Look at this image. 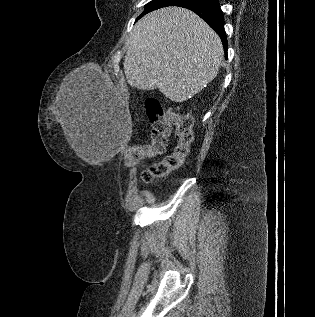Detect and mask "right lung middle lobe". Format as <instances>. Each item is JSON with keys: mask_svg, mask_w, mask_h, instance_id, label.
<instances>
[{"mask_svg": "<svg viewBox=\"0 0 315 317\" xmlns=\"http://www.w3.org/2000/svg\"><path fill=\"white\" fill-rule=\"evenodd\" d=\"M179 0H152L151 2H149L146 6H145V10L142 13V15L156 10L158 8H162V7H166V6H171L175 3H177ZM141 15V16H142Z\"/></svg>", "mask_w": 315, "mask_h": 317, "instance_id": "right-lung-middle-lobe-1", "label": "right lung middle lobe"}]
</instances>
